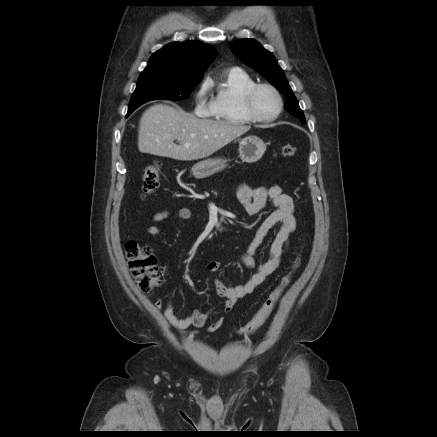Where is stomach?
I'll return each instance as SVG.
<instances>
[{
	"instance_id": "obj_1",
	"label": "stomach",
	"mask_w": 437,
	"mask_h": 437,
	"mask_svg": "<svg viewBox=\"0 0 437 437\" xmlns=\"http://www.w3.org/2000/svg\"><path fill=\"white\" fill-rule=\"evenodd\" d=\"M266 144L257 136H247L239 142V156L243 162L253 163L262 158ZM226 160L222 158L206 159L192 167L195 178H206L224 170Z\"/></svg>"
}]
</instances>
